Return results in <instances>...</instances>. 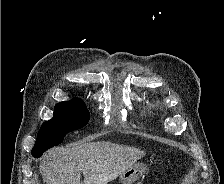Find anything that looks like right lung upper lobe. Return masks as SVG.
Returning <instances> with one entry per match:
<instances>
[{"label":"right lung upper lobe","instance_id":"right-lung-upper-lobe-1","mask_svg":"<svg viewBox=\"0 0 224 184\" xmlns=\"http://www.w3.org/2000/svg\"><path fill=\"white\" fill-rule=\"evenodd\" d=\"M78 102H83V101L80 100V99H73V100H71L69 102H62V103H78Z\"/></svg>","mask_w":224,"mask_h":184}]
</instances>
